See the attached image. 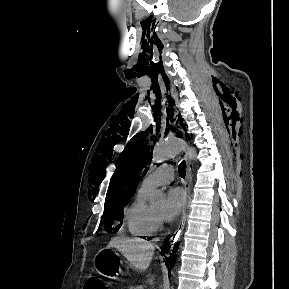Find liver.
Wrapping results in <instances>:
<instances>
[{
	"instance_id": "6515ba94",
	"label": "liver",
	"mask_w": 289,
	"mask_h": 289,
	"mask_svg": "<svg viewBox=\"0 0 289 289\" xmlns=\"http://www.w3.org/2000/svg\"><path fill=\"white\" fill-rule=\"evenodd\" d=\"M107 248H116L123 256L139 270H146L154 254V246L142 239L114 238Z\"/></svg>"
}]
</instances>
